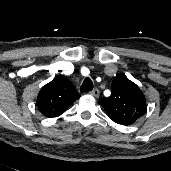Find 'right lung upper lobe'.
<instances>
[{
	"label": "right lung upper lobe",
	"instance_id": "right-lung-upper-lobe-1",
	"mask_svg": "<svg viewBox=\"0 0 171 171\" xmlns=\"http://www.w3.org/2000/svg\"><path fill=\"white\" fill-rule=\"evenodd\" d=\"M79 97L72 83L64 75H59L40 90L37 106L44 116L57 117Z\"/></svg>",
	"mask_w": 171,
	"mask_h": 171
}]
</instances>
